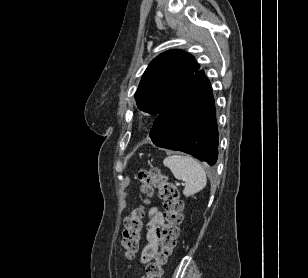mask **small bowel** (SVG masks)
<instances>
[{
    "instance_id": "obj_1",
    "label": "small bowel",
    "mask_w": 308,
    "mask_h": 278,
    "mask_svg": "<svg viewBox=\"0 0 308 278\" xmlns=\"http://www.w3.org/2000/svg\"><path fill=\"white\" fill-rule=\"evenodd\" d=\"M164 223V216L158 208L154 207L149 211L147 222L146 240L147 244L140 255V262L147 264L158 250V239L156 229Z\"/></svg>"
}]
</instances>
